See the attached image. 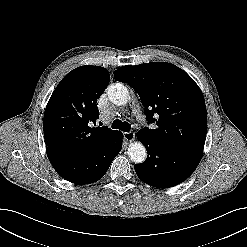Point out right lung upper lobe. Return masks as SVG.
I'll return each mask as SVG.
<instances>
[{
    "mask_svg": "<svg viewBox=\"0 0 247 247\" xmlns=\"http://www.w3.org/2000/svg\"><path fill=\"white\" fill-rule=\"evenodd\" d=\"M110 75L99 66H80L58 84L44 113L47 148L72 155H85L117 131L93 127L99 119L97 99L109 84Z\"/></svg>",
    "mask_w": 247,
    "mask_h": 247,
    "instance_id": "obj_1",
    "label": "right lung upper lobe"
}]
</instances>
